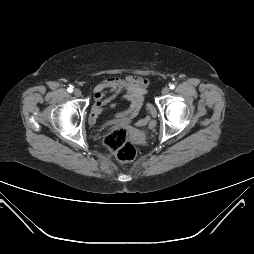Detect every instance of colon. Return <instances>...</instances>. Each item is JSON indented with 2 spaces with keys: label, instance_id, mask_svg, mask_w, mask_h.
Returning <instances> with one entry per match:
<instances>
[{
  "label": "colon",
  "instance_id": "1",
  "mask_svg": "<svg viewBox=\"0 0 254 254\" xmlns=\"http://www.w3.org/2000/svg\"><path fill=\"white\" fill-rule=\"evenodd\" d=\"M104 146L122 164H128L135 159L136 149L129 141L128 130L125 127L113 128L106 136Z\"/></svg>",
  "mask_w": 254,
  "mask_h": 254
}]
</instances>
